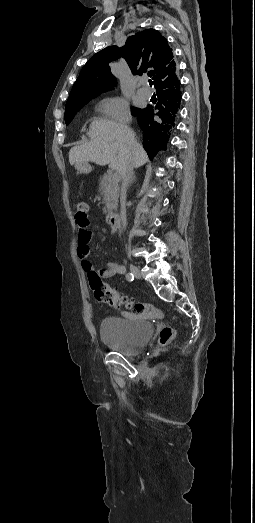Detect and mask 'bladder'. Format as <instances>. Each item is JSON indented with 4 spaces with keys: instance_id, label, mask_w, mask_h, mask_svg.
<instances>
[{
    "instance_id": "31cf9c89",
    "label": "bladder",
    "mask_w": 255,
    "mask_h": 523,
    "mask_svg": "<svg viewBox=\"0 0 255 523\" xmlns=\"http://www.w3.org/2000/svg\"><path fill=\"white\" fill-rule=\"evenodd\" d=\"M124 320L102 318L100 336L102 340L123 354H135L147 345L153 332V325L143 319L131 317Z\"/></svg>"
}]
</instances>
